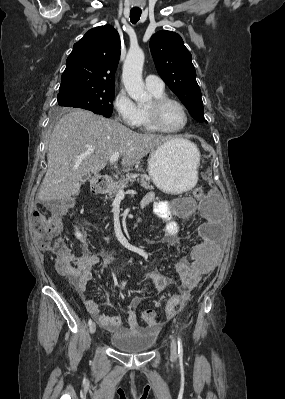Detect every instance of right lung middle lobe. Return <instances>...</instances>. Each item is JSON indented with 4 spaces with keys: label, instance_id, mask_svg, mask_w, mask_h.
I'll return each instance as SVG.
<instances>
[{
    "label": "right lung middle lobe",
    "instance_id": "obj_1",
    "mask_svg": "<svg viewBox=\"0 0 285 399\" xmlns=\"http://www.w3.org/2000/svg\"><path fill=\"white\" fill-rule=\"evenodd\" d=\"M114 89L77 90L58 94V104L90 110L95 114L110 117L113 111Z\"/></svg>",
    "mask_w": 285,
    "mask_h": 399
}]
</instances>
